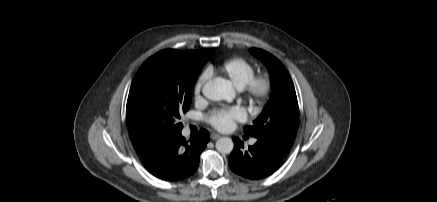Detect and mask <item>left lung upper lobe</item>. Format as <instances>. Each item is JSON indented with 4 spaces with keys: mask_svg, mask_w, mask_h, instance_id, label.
<instances>
[{
    "mask_svg": "<svg viewBox=\"0 0 437 202\" xmlns=\"http://www.w3.org/2000/svg\"><path fill=\"white\" fill-rule=\"evenodd\" d=\"M250 52L268 68L273 94L253 125L244 127V132L285 155L295 138L299 117L294 84L275 56L257 48Z\"/></svg>",
    "mask_w": 437,
    "mask_h": 202,
    "instance_id": "5c2ea615",
    "label": "left lung upper lobe"
}]
</instances>
